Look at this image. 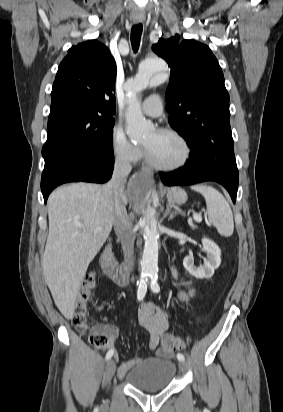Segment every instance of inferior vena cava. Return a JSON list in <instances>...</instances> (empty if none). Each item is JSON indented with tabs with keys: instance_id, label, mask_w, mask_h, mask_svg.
<instances>
[{
	"instance_id": "inferior-vena-cava-1",
	"label": "inferior vena cava",
	"mask_w": 283,
	"mask_h": 412,
	"mask_svg": "<svg viewBox=\"0 0 283 412\" xmlns=\"http://www.w3.org/2000/svg\"><path fill=\"white\" fill-rule=\"evenodd\" d=\"M131 169L130 162L124 157L118 156L115 160L112 178L108 183V187L113 190L112 212L114 229L121 240L124 260L129 270H133L134 265L135 233L125 208L123 191L126 177L131 172Z\"/></svg>"
}]
</instances>
